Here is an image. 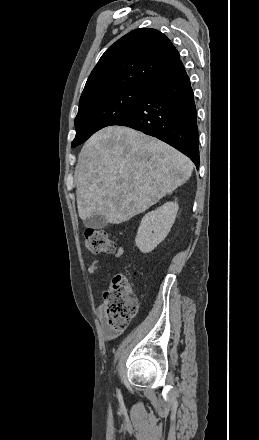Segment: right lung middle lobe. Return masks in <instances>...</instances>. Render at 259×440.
<instances>
[{"instance_id":"right-lung-middle-lobe-1","label":"right lung middle lobe","mask_w":259,"mask_h":440,"mask_svg":"<svg viewBox=\"0 0 259 440\" xmlns=\"http://www.w3.org/2000/svg\"><path fill=\"white\" fill-rule=\"evenodd\" d=\"M147 89L146 87L119 89L80 105L75 118L76 137L72 147L80 145L96 131L112 125L127 114L140 101Z\"/></svg>"}]
</instances>
